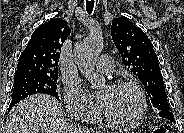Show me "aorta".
Listing matches in <instances>:
<instances>
[{
    "label": "aorta",
    "mask_w": 184,
    "mask_h": 133,
    "mask_svg": "<svg viewBox=\"0 0 184 133\" xmlns=\"http://www.w3.org/2000/svg\"><path fill=\"white\" fill-rule=\"evenodd\" d=\"M102 49L103 38L99 34L84 38L74 48L75 63L93 89L99 88L105 83L104 77L98 75L94 69V63Z\"/></svg>",
    "instance_id": "1"
}]
</instances>
